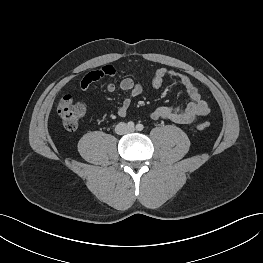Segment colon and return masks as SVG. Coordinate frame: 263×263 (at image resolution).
I'll list each match as a JSON object with an SVG mask.
<instances>
[{"label":"colon","instance_id":"1","mask_svg":"<svg viewBox=\"0 0 263 263\" xmlns=\"http://www.w3.org/2000/svg\"><path fill=\"white\" fill-rule=\"evenodd\" d=\"M86 106L82 101L75 100L71 95L64 96L58 103V115L61 118L63 126L67 130H75L81 118L85 114ZM209 123H201L198 128L200 130L207 129Z\"/></svg>","mask_w":263,"mask_h":263}]
</instances>
